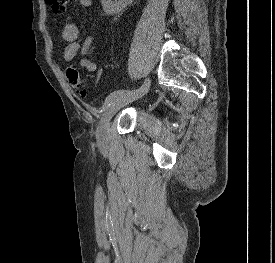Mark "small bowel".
Here are the masks:
<instances>
[{"label":"small bowel","mask_w":275,"mask_h":263,"mask_svg":"<svg viewBox=\"0 0 275 263\" xmlns=\"http://www.w3.org/2000/svg\"><path fill=\"white\" fill-rule=\"evenodd\" d=\"M92 5V0H79L81 8H89ZM62 37L67 45L65 47L63 58L65 61L70 62L75 59L77 55H81L79 64L87 72L95 73L98 69L97 64L87 58L90 51L93 38L91 36L85 38L83 41L79 40V29L74 23H67L62 29Z\"/></svg>","instance_id":"obj_1"}]
</instances>
